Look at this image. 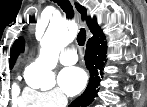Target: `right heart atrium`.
Listing matches in <instances>:
<instances>
[{
    "label": "right heart atrium",
    "instance_id": "right-heart-atrium-1",
    "mask_svg": "<svg viewBox=\"0 0 147 107\" xmlns=\"http://www.w3.org/2000/svg\"><path fill=\"white\" fill-rule=\"evenodd\" d=\"M34 95L35 101L42 107H58L66 103L64 95L58 89L46 91L29 90Z\"/></svg>",
    "mask_w": 147,
    "mask_h": 107
}]
</instances>
